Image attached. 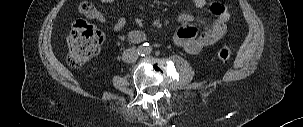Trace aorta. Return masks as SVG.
I'll return each mask as SVG.
<instances>
[{
  "label": "aorta",
  "mask_w": 303,
  "mask_h": 127,
  "mask_svg": "<svg viewBox=\"0 0 303 127\" xmlns=\"http://www.w3.org/2000/svg\"><path fill=\"white\" fill-rule=\"evenodd\" d=\"M151 48L148 44H143V46L140 47L139 52L141 55H146L150 52Z\"/></svg>",
  "instance_id": "aorta-1"
}]
</instances>
